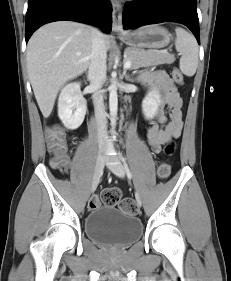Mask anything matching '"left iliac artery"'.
<instances>
[{
  "label": "left iliac artery",
  "instance_id": "left-iliac-artery-1",
  "mask_svg": "<svg viewBox=\"0 0 231 281\" xmlns=\"http://www.w3.org/2000/svg\"><path fill=\"white\" fill-rule=\"evenodd\" d=\"M122 161H123V164H124V167H125V170H126V172H127L128 177L131 178V177H132V174H131V172H130V169H129V167H128V165H127V163H126L124 157H122Z\"/></svg>",
  "mask_w": 231,
  "mask_h": 281
}]
</instances>
